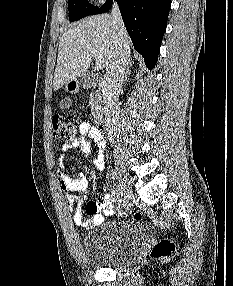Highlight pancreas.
Returning <instances> with one entry per match:
<instances>
[{"label": "pancreas", "instance_id": "pancreas-1", "mask_svg": "<svg viewBox=\"0 0 233 286\" xmlns=\"http://www.w3.org/2000/svg\"><path fill=\"white\" fill-rule=\"evenodd\" d=\"M89 105L91 107L93 116L96 117L101 106V99L96 94H91L89 99Z\"/></svg>", "mask_w": 233, "mask_h": 286}]
</instances>
